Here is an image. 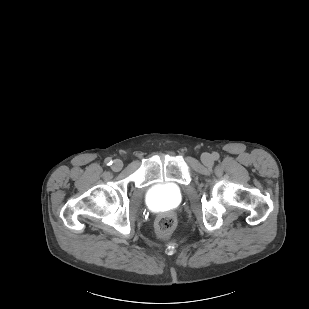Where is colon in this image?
<instances>
[{
    "label": "colon",
    "instance_id": "obj_1",
    "mask_svg": "<svg viewBox=\"0 0 309 309\" xmlns=\"http://www.w3.org/2000/svg\"><path fill=\"white\" fill-rule=\"evenodd\" d=\"M176 217L172 214L162 215L156 223V233L160 238L168 237L176 227Z\"/></svg>",
    "mask_w": 309,
    "mask_h": 309
}]
</instances>
